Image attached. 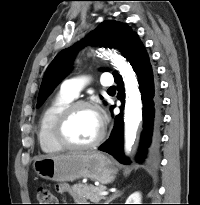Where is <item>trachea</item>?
I'll return each mask as SVG.
<instances>
[{
    "instance_id": "obj_1",
    "label": "trachea",
    "mask_w": 200,
    "mask_h": 205,
    "mask_svg": "<svg viewBox=\"0 0 200 205\" xmlns=\"http://www.w3.org/2000/svg\"><path fill=\"white\" fill-rule=\"evenodd\" d=\"M108 90H109V91H110V90H115V87L112 86V87H110Z\"/></svg>"
}]
</instances>
